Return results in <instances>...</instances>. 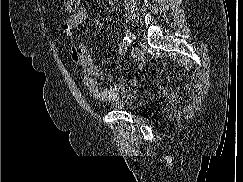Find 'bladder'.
<instances>
[{"mask_svg":"<svg viewBox=\"0 0 243 182\" xmlns=\"http://www.w3.org/2000/svg\"><path fill=\"white\" fill-rule=\"evenodd\" d=\"M146 95L140 91H126L110 104V109L116 111H131L145 105Z\"/></svg>","mask_w":243,"mask_h":182,"instance_id":"obj_1","label":"bladder"}]
</instances>
